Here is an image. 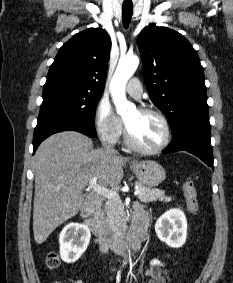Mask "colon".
Here are the masks:
<instances>
[{
    "mask_svg": "<svg viewBox=\"0 0 233 283\" xmlns=\"http://www.w3.org/2000/svg\"><path fill=\"white\" fill-rule=\"evenodd\" d=\"M183 193L187 203L189 211L193 214L199 212V201L197 196V190L192 180H187L183 183ZM47 265L51 269H55L59 266L60 260L56 253L50 252L46 259Z\"/></svg>",
    "mask_w": 233,
    "mask_h": 283,
    "instance_id": "1",
    "label": "colon"
}]
</instances>
